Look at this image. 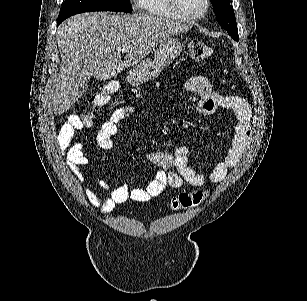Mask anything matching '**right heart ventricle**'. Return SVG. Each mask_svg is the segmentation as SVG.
I'll return each mask as SVG.
<instances>
[{
    "label": "right heart ventricle",
    "mask_w": 307,
    "mask_h": 301,
    "mask_svg": "<svg viewBox=\"0 0 307 301\" xmlns=\"http://www.w3.org/2000/svg\"><path fill=\"white\" fill-rule=\"evenodd\" d=\"M166 1L170 0H139V8H145L151 17H172L173 11L167 9Z\"/></svg>",
    "instance_id": "obj_1"
}]
</instances>
